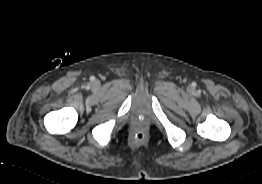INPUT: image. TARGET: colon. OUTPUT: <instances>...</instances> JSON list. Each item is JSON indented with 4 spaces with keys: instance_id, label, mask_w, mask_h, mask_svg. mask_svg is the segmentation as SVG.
<instances>
[{
    "instance_id": "5ec220e1",
    "label": "colon",
    "mask_w": 262,
    "mask_h": 184,
    "mask_svg": "<svg viewBox=\"0 0 262 184\" xmlns=\"http://www.w3.org/2000/svg\"><path fill=\"white\" fill-rule=\"evenodd\" d=\"M133 137L136 142H142L145 140L146 135L143 131L138 130L134 133Z\"/></svg>"
}]
</instances>
